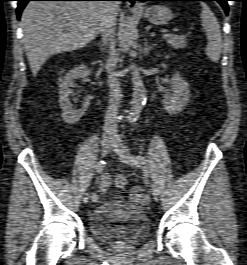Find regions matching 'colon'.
Here are the masks:
<instances>
[{
	"label": "colon",
	"mask_w": 247,
	"mask_h": 265,
	"mask_svg": "<svg viewBox=\"0 0 247 265\" xmlns=\"http://www.w3.org/2000/svg\"><path fill=\"white\" fill-rule=\"evenodd\" d=\"M114 182L117 187L123 188L127 185V178L124 175L119 174L115 177Z\"/></svg>",
	"instance_id": "colon-1"
}]
</instances>
